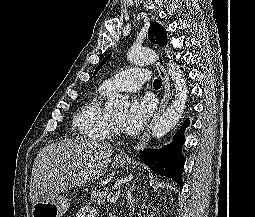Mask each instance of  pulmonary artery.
Listing matches in <instances>:
<instances>
[{"label":"pulmonary artery","instance_id":"e3ab8cb5","mask_svg":"<svg viewBox=\"0 0 255 217\" xmlns=\"http://www.w3.org/2000/svg\"><path fill=\"white\" fill-rule=\"evenodd\" d=\"M150 79V73L139 67L125 69L105 80L102 87L109 93L117 91H136Z\"/></svg>","mask_w":255,"mask_h":217}]
</instances>
